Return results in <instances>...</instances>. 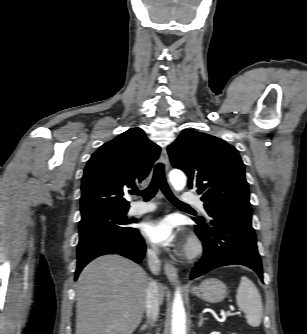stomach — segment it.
<instances>
[{
  "label": "stomach",
  "mask_w": 307,
  "mask_h": 334,
  "mask_svg": "<svg viewBox=\"0 0 307 334\" xmlns=\"http://www.w3.org/2000/svg\"><path fill=\"white\" fill-rule=\"evenodd\" d=\"M193 295L209 303L221 302L227 295L226 285L219 279L208 278L191 288Z\"/></svg>",
  "instance_id": "1"
}]
</instances>
